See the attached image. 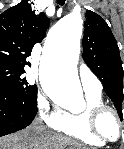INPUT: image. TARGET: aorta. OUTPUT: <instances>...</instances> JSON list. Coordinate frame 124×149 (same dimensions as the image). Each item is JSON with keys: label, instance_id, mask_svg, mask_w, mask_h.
Returning a JSON list of instances; mask_svg holds the SVG:
<instances>
[{"label": "aorta", "instance_id": "1", "mask_svg": "<svg viewBox=\"0 0 124 149\" xmlns=\"http://www.w3.org/2000/svg\"><path fill=\"white\" fill-rule=\"evenodd\" d=\"M83 20L70 13L51 29L40 65L39 79L44 92L68 107H84L77 63Z\"/></svg>", "mask_w": 124, "mask_h": 149}]
</instances>
